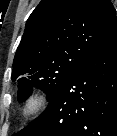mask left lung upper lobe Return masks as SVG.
<instances>
[{"instance_id":"left-lung-upper-lobe-1","label":"left lung upper lobe","mask_w":117,"mask_h":136,"mask_svg":"<svg viewBox=\"0 0 117 136\" xmlns=\"http://www.w3.org/2000/svg\"><path fill=\"white\" fill-rule=\"evenodd\" d=\"M117 25L110 0H41L17 48L12 80L23 102L37 86L51 98Z\"/></svg>"}]
</instances>
